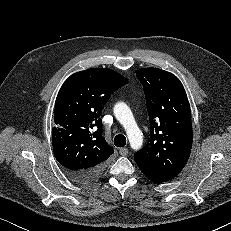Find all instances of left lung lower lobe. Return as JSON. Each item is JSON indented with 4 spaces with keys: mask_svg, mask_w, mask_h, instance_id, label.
<instances>
[{
    "mask_svg": "<svg viewBox=\"0 0 231 231\" xmlns=\"http://www.w3.org/2000/svg\"><path fill=\"white\" fill-rule=\"evenodd\" d=\"M134 160L140 168V170L142 171V173L154 183H164L178 175V173H169L161 171L135 155Z\"/></svg>",
    "mask_w": 231,
    "mask_h": 231,
    "instance_id": "1",
    "label": "left lung lower lobe"
}]
</instances>
